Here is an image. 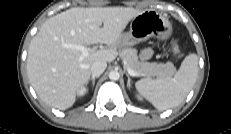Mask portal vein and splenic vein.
<instances>
[{"instance_id":"obj_1","label":"portal vein and splenic vein","mask_w":231,"mask_h":134,"mask_svg":"<svg viewBox=\"0 0 231 134\" xmlns=\"http://www.w3.org/2000/svg\"><path fill=\"white\" fill-rule=\"evenodd\" d=\"M69 47L71 48H74L76 50H79L81 52V57H80V60L83 59V57H86L89 55V52H90V49L83 46V45H69ZM127 72L129 73V75L133 76V77H137V76H140L139 73L135 72L134 70L128 68L127 69Z\"/></svg>"}]
</instances>
